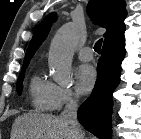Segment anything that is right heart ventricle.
I'll list each match as a JSON object with an SVG mask.
<instances>
[{"label":"right heart ventricle","instance_id":"right-heart-ventricle-1","mask_svg":"<svg viewBox=\"0 0 141 139\" xmlns=\"http://www.w3.org/2000/svg\"><path fill=\"white\" fill-rule=\"evenodd\" d=\"M53 83L34 75L29 83V95L31 105L37 111L45 112L50 110Z\"/></svg>","mask_w":141,"mask_h":139}]
</instances>
